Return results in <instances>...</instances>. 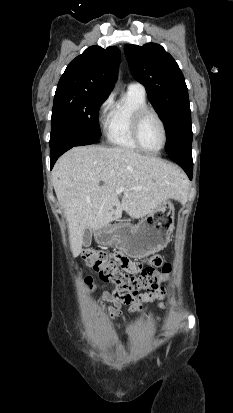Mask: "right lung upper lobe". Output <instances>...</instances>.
Segmentation results:
<instances>
[{
	"label": "right lung upper lobe",
	"instance_id": "cb5924a9",
	"mask_svg": "<svg viewBox=\"0 0 233 413\" xmlns=\"http://www.w3.org/2000/svg\"><path fill=\"white\" fill-rule=\"evenodd\" d=\"M119 59L120 51L115 46L107 49L91 46L70 62L57 89H76L109 95L117 79L115 69Z\"/></svg>",
	"mask_w": 233,
	"mask_h": 413
}]
</instances>
